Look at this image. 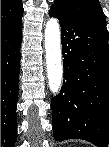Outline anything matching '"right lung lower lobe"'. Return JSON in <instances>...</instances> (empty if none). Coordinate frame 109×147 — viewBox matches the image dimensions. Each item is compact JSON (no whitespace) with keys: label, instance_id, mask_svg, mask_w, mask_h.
<instances>
[{"label":"right lung lower lobe","instance_id":"obj_1","mask_svg":"<svg viewBox=\"0 0 109 147\" xmlns=\"http://www.w3.org/2000/svg\"><path fill=\"white\" fill-rule=\"evenodd\" d=\"M22 19L1 30V146L13 147L17 135L16 106L20 72Z\"/></svg>","mask_w":109,"mask_h":147}]
</instances>
